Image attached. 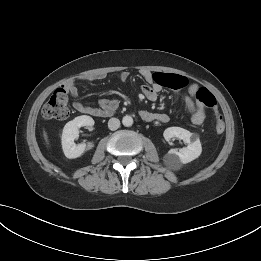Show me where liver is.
<instances>
[{"mask_svg": "<svg viewBox=\"0 0 261 261\" xmlns=\"http://www.w3.org/2000/svg\"><path fill=\"white\" fill-rule=\"evenodd\" d=\"M43 135H44L45 141L48 143V137H47V133L45 131L43 132Z\"/></svg>", "mask_w": 261, "mask_h": 261, "instance_id": "obj_1", "label": "liver"}]
</instances>
